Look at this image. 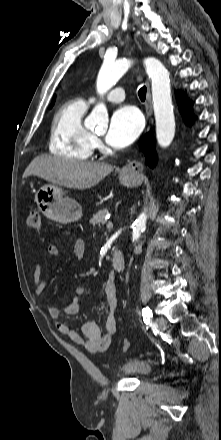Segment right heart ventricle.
<instances>
[{
  "instance_id": "obj_1",
  "label": "right heart ventricle",
  "mask_w": 221,
  "mask_h": 440,
  "mask_svg": "<svg viewBox=\"0 0 221 440\" xmlns=\"http://www.w3.org/2000/svg\"><path fill=\"white\" fill-rule=\"evenodd\" d=\"M87 107L82 99L70 100L60 107L51 127V153L73 160H87L92 155L94 136L83 124Z\"/></svg>"
}]
</instances>
